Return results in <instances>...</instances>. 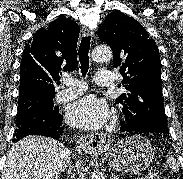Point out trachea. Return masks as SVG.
<instances>
[{
	"mask_svg": "<svg viewBox=\"0 0 183 179\" xmlns=\"http://www.w3.org/2000/svg\"><path fill=\"white\" fill-rule=\"evenodd\" d=\"M90 36H85L82 38L80 46H79V61L81 64V72L82 75L85 77L86 73L88 72L89 69V49H90Z\"/></svg>",
	"mask_w": 183,
	"mask_h": 179,
	"instance_id": "obj_1",
	"label": "trachea"
}]
</instances>
